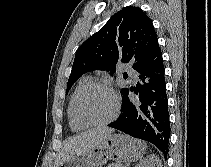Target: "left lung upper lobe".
Instances as JSON below:
<instances>
[{
	"label": "left lung upper lobe",
	"instance_id": "1",
	"mask_svg": "<svg viewBox=\"0 0 211 167\" xmlns=\"http://www.w3.org/2000/svg\"><path fill=\"white\" fill-rule=\"evenodd\" d=\"M158 47L151 19L139 7L123 8L77 50L67 93L83 73L106 70L112 75L119 62H131L136 70ZM126 90L122 89V93Z\"/></svg>",
	"mask_w": 211,
	"mask_h": 167
}]
</instances>
